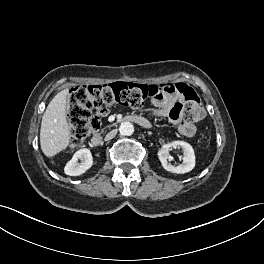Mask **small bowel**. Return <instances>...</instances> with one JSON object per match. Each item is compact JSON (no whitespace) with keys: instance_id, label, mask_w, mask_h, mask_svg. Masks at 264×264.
<instances>
[{"instance_id":"1","label":"small bowel","mask_w":264,"mask_h":264,"mask_svg":"<svg viewBox=\"0 0 264 264\" xmlns=\"http://www.w3.org/2000/svg\"><path fill=\"white\" fill-rule=\"evenodd\" d=\"M180 100L181 98L176 92L153 100L152 103L156 109L150 113L149 119L168 118L177 126L179 133L186 137H192L196 133V127L192 123L182 120ZM105 115L106 112H103L99 116Z\"/></svg>"}]
</instances>
